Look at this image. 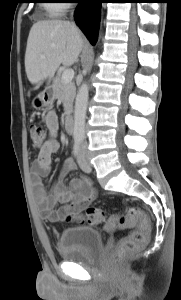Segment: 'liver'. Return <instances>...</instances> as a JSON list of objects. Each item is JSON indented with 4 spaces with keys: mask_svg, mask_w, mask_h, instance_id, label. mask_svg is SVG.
Returning <instances> with one entry per match:
<instances>
[{
    "mask_svg": "<svg viewBox=\"0 0 181 300\" xmlns=\"http://www.w3.org/2000/svg\"><path fill=\"white\" fill-rule=\"evenodd\" d=\"M84 40L75 24L61 20L36 22L28 36L25 71L33 85L54 77L63 64L73 65L83 48ZM48 82V83H49Z\"/></svg>",
    "mask_w": 181,
    "mask_h": 300,
    "instance_id": "obj_1",
    "label": "liver"
}]
</instances>
